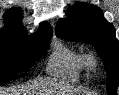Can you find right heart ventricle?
I'll return each instance as SVG.
<instances>
[{"mask_svg":"<svg viewBox=\"0 0 119 95\" xmlns=\"http://www.w3.org/2000/svg\"><path fill=\"white\" fill-rule=\"evenodd\" d=\"M85 69L84 54L76 47L58 42L47 63V71L66 80H77Z\"/></svg>","mask_w":119,"mask_h":95,"instance_id":"obj_1","label":"right heart ventricle"}]
</instances>
